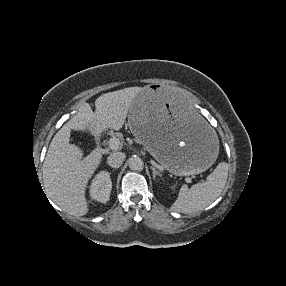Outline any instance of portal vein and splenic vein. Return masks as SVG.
Here are the masks:
<instances>
[{
  "label": "portal vein and splenic vein",
  "mask_w": 286,
  "mask_h": 286,
  "mask_svg": "<svg viewBox=\"0 0 286 286\" xmlns=\"http://www.w3.org/2000/svg\"><path fill=\"white\" fill-rule=\"evenodd\" d=\"M119 145H120L119 139H117V138L110 139V141H109V148L110 149L115 150V149H117L119 147ZM185 181L187 183H191L192 182L191 178H189V177L185 178Z\"/></svg>",
  "instance_id": "obj_1"
}]
</instances>
